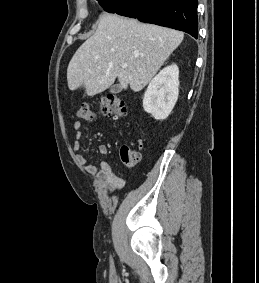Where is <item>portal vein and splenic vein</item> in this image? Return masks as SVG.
<instances>
[{
	"label": "portal vein and splenic vein",
	"mask_w": 259,
	"mask_h": 283,
	"mask_svg": "<svg viewBox=\"0 0 259 283\" xmlns=\"http://www.w3.org/2000/svg\"><path fill=\"white\" fill-rule=\"evenodd\" d=\"M121 67H122L123 69H125V68H127V64L123 63V64L121 65Z\"/></svg>",
	"instance_id": "1"
}]
</instances>
